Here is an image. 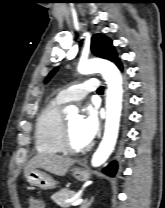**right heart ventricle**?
I'll return each mask as SVG.
<instances>
[{"instance_id": "1", "label": "right heart ventricle", "mask_w": 165, "mask_h": 208, "mask_svg": "<svg viewBox=\"0 0 165 208\" xmlns=\"http://www.w3.org/2000/svg\"><path fill=\"white\" fill-rule=\"evenodd\" d=\"M62 103L51 100L37 117L35 124V147L39 153L54 155L65 153L61 146L63 126Z\"/></svg>"}]
</instances>
